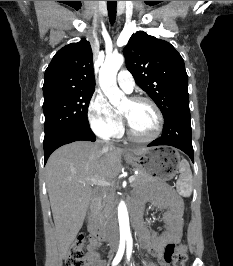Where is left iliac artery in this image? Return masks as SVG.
Segmentation results:
<instances>
[{
  "mask_svg": "<svg viewBox=\"0 0 233 266\" xmlns=\"http://www.w3.org/2000/svg\"><path fill=\"white\" fill-rule=\"evenodd\" d=\"M127 250H126V256L127 260H130L131 254H132V247H133V239L131 236L127 237Z\"/></svg>",
  "mask_w": 233,
  "mask_h": 266,
  "instance_id": "left-iliac-artery-1",
  "label": "left iliac artery"
}]
</instances>
